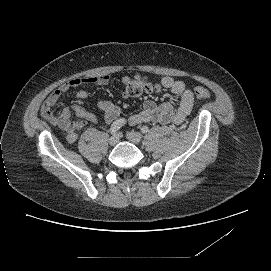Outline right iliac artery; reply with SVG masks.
<instances>
[{
	"label": "right iliac artery",
	"mask_w": 271,
	"mask_h": 271,
	"mask_svg": "<svg viewBox=\"0 0 271 271\" xmlns=\"http://www.w3.org/2000/svg\"><path fill=\"white\" fill-rule=\"evenodd\" d=\"M126 124V120L123 118L117 119L113 122L110 128V133L115 135L117 131Z\"/></svg>",
	"instance_id": "1"
}]
</instances>
